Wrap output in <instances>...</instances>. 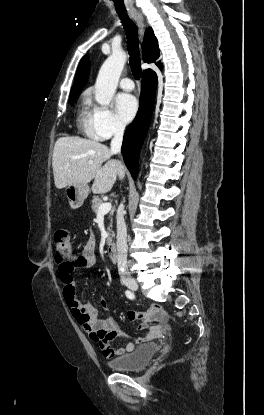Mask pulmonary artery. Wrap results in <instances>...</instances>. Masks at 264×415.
Returning a JSON list of instances; mask_svg holds the SVG:
<instances>
[{
  "instance_id": "1",
  "label": "pulmonary artery",
  "mask_w": 264,
  "mask_h": 415,
  "mask_svg": "<svg viewBox=\"0 0 264 415\" xmlns=\"http://www.w3.org/2000/svg\"><path fill=\"white\" fill-rule=\"evenodd\" d=\"M119 87L125 91H131L134 88V83L130 78H123L119 81Z\"/></svg>"
}]
</instances>
